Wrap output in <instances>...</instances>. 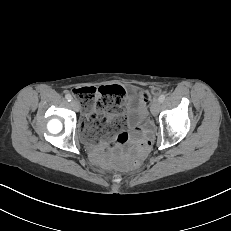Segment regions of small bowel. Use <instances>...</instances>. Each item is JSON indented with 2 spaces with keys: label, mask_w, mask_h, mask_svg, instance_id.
Wrapping results in <instances>:
<instances>
[{
  "label": "small bowel",
  "mask_w": 231,
  "mask_h": 231,
  "mask_svg": "<svg viewBox=\"0 0 231 231\" xmlns=\"http://www.w3.org/2000/svg\"><path fill=\"white\" fill-rule=\"evenodd\" d=\"M93 113L96 115H99V116H105L107 114V112H105L104 110H100V109H96ZM132 131L135 135L136 142H138L142 146L143 149L147 148L148 142L146 140H144L145 135L143 134L141 128L138 127L134 121L132 124ZM112 138H113V136L111 134H107L106 135L107 141L98 145L94 149V154L99 157L102 155L105 147H108L110 149L115 148L118 145V143L113 141ZM125 141H123V142H125ZM119 142L122 143V141H119Z\"/></svg>",
  "instance_id": "small-bowel-1"
}]
</instances>
